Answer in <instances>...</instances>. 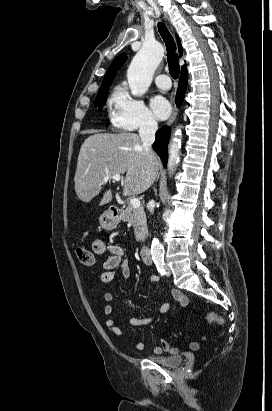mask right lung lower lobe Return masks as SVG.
I'll list each match as a JSON object with an SVG mask.
<instances>
[{
	"label": "right lung lower lobe",
	"instance_id": "98d812e1",
	"mask_svg": "<svg viewBox=\"0 0 272 411\" xmlns=\"http://www.w3.org/2000/svg\"><path fill=\"white\" fill-rule=\"evenodd\" d=\"M187 80H188V73L187 69L181 71L179 85L176 94V104L180 106L184 100L185 91L187 88ZM170 137V128L167 126H163L156 132V139L153 144L154 151L158 154L161 158L164 167H166L168 154H167V144Z\"/></svg>",
	"mask_w": 272,
	"mask_h": 411
}]
</instances>
